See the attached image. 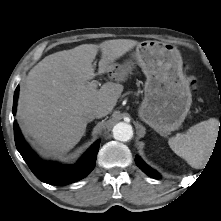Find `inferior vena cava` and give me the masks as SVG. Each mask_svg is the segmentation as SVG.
I'll list each match as a JSON object with an SVG mask.
<instances>
[{"instance_id":"602c4592","label":"inferior vena cava","mask_w":221,"mask_h":221,"mask_svg":"<svg viewBox=\"0 0 221 221\" xmlns=\"http://www.w3.org/2000/svg\"><path fill=\"white\" fill-rule=\"evenodd\" d=\"M99 116V109L98 108H87L84 111V117L88 122L92 121Z\"/></svg>"}]
</instances>
